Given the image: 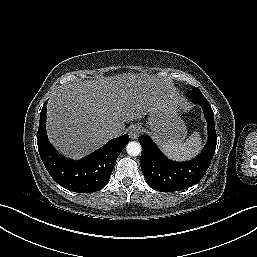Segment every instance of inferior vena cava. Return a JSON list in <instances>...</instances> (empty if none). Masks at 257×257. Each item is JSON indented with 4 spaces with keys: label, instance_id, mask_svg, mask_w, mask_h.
<instances>
[{
    "label": "inferior vena cava",
    "instance_id": "1",
    "mask_svg": "<svg viewBox=\"0 0 257 257\" xmlns=\"http://www.w3.org/2000/svg\"><path fill=\"white\" fill-rule=\"evenodd\" d=\"M117 136H118V133H117L116 130H109V131L107 132V137H108L109 139L115 138V137H117Z\"/></svg>",
    "mask_w": 257,
    "mask_h": 257
}]
</instances>
